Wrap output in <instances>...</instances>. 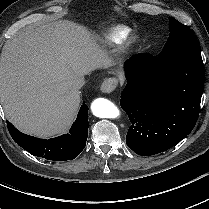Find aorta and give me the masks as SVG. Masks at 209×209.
Returning <instances> with one entry per match:
<instances>
[{
	"mask_svg": "<svg viewBox=\"0 0 209 209\" xmlns=\"http://www.w3.org/2000/svg\"><path fill=\"white\" fill-rule=\"evenodd\" d=\"M93 115L99 118H116L119 116L117 107L109 100L97 98L91 103Z\"/></svg>",
	"mask_w": 209,
	"mask_h": 209,
	"instance_id": "762f6f07",
	"label": "aorta"
}]
</instances>
